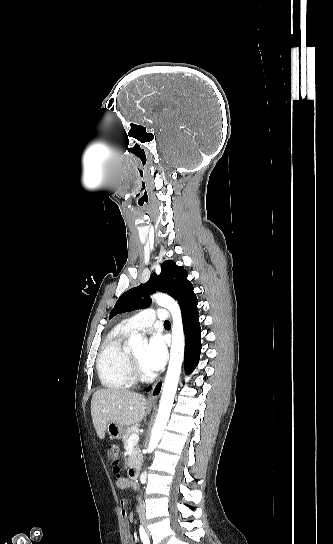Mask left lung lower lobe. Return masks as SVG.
<instances>
[{
	"mask_svg": "<svg viewBox=\"0 0 333 544\" xmlns=\"http://www.w3.org/2000/svg\"><path fill=\"white\" fill-rule=\"evenodd\" d=\"M197 304V301H193L180 307L185 332L184 366L187 374L196 367L201 353V328ZM150 389L148 388L146 391H150Z\"/></svg>",
	"mask_w": 333,
	"mask_h": 544,
	"instance_id": "0a47b994",
	"label": "left lung lower lobe"
}]
</instances>
